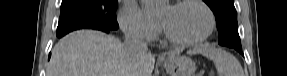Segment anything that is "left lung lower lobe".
Instances as JSON below:
<instances>
[{"label":"left lung lower lobe","mask_w":287,"mask_h":76,"mask_svg":"<svg viewBox=\"0 0 287 76\" xmlns=\"http://www.w3.org/2000/svg\"><path fill=\"white\" fill-rule=\"evenodd\" d=\"M230 48H234L235 50H237L239 53H242V47L241 46H234V47H230Z\"/></svg>","instance_id":"left-lung-lower-lobe-1"}]
</instances>
